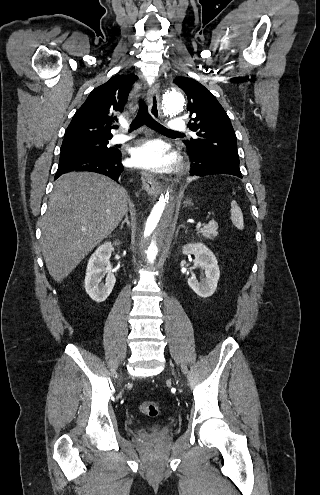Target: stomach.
<instances>
[{"label": "stomach", "instance_id": "obj_1", "mask_svg": "<svg viewBox=\"0 0 320 495\" xmlns=\"http://www.w3.org/2000/svg\"><path fill=\"white\" fill-rule=\"evenodd\" d=\"M184 203L188 205V204H191V201L186 200Z\"/></svg>", "mask_w": 320, "mask_h": 495}]
</instances>
